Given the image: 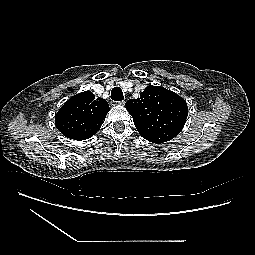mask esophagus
I'll use <instances>...</instances> for the list:
<instances>
[{
	"mask_svg": "<svg viewBox=\"0 0 255 255\" xmlns=\"http://www.w3.org/2000/svg\"><path fill=\"white\" fill-rule=\"evenodd\" d=\"M124 105L125 104V101L124 100H122V101H119V102H113V104L112 105Z\"/></svg>",
	"mask_w": 255,
	"mask_h": 255,
	"instance_id": "34e87169",
	"label": "esophagus"
}]
</instances>
